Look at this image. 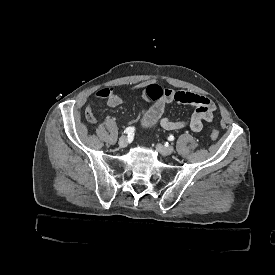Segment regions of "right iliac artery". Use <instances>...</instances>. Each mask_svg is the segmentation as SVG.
I'll use <instances>...</instances> for the list:
<instances>
[{
    "label": "right iliac artery",
    "mask_w": 275,
    "mask_h": 275,
    "mask_svg": "<svg viewBox=\"0 0 275 275\" xmlns=\"http://www.w3.org/2000/svg\"><path fill=\"white\" fill-rule=\"evenodd\" d=\"M134 130H135L134 127H128L124 130V133L129 136V135L134 134Z\"/></svg>",
    "instance_id": "obj_1"
}]
</instances>
